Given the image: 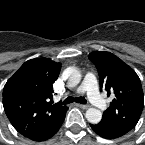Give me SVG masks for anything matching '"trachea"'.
Segmentation results:
<instances>
[{"label": "trachea", "instance_id": "obj_1", "mask_svg": "<svg viewBox=\"0 0 145 145\" xmlns=\"http://www.w3.org/2000/svg\"><path fill=\"white\" fill-rule=\"evenodd\" d=\"M73 102H77V103H81V104H86V99L84 97H77L74 98L72 96L67 97L64 101L63 104H69V103H73Z\"/></svg>", "mask_w": 145, "mask_h": 145}]
</instances>
